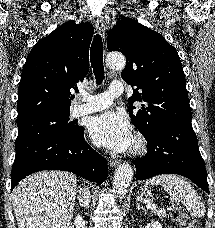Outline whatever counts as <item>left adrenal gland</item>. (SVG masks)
Returning <instances> with one entry per match:
<instances>
[{"label":"left adrenal gland","instance_id":"obj_1","mask_svg":"<svg viewBox=\"0 0 215 228\" xmlns=\"http://www.w3.org/2000/svg\"><path fill=\"white\" fill-rule=\"evenodd\" d=\"M136 204H137V210H142V208H141V206H140L138 200H137Z\"/></svg>","mask_w":215,"mask_h":228}]
</instances>
